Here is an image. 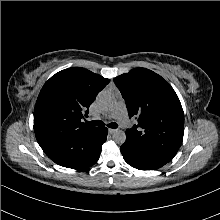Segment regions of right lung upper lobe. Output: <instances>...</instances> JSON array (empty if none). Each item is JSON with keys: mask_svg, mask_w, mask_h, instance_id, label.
I'll return each mask as SVG.
<instances>
[{"mask_svg": "<svg viewBox=\"0 0 220 220\" xmlns=\"http://www.w3.org/2000/svg\"><path fill=\"white\" fill-rule=\"evenodd\" d=\"M108 83L109 79L73 67L56 73L44 84L35 105L34 131L46 154H59L67 160L81 157L85 151L77 143L98 130L81 119Z\"/></svg>", "mask_w": 220, "mask_h": 220, "instance_id": "cb5924a9", "label": "right lung upper lobe"}]
</instances>
